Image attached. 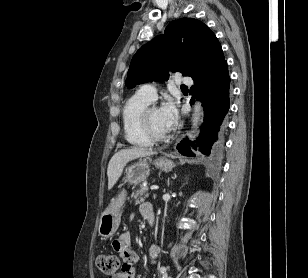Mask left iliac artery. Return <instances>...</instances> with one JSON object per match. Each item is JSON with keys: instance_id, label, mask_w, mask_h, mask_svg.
<instances>
[{"instance_id": "1", "label": "left iliac artery", "mask_w": 308, "mask_h": 278, "mask_svg": "<svg viewBox=\"0 0 308 278\" xmlns=\"http://www.w3.org/2000/svg\"><path fill=\"white\" fill-rule=\"evenodd\" d=\"M160 272L163 275V278H167V269L166 267H161Z\"/></svg>"}]
</instances>
